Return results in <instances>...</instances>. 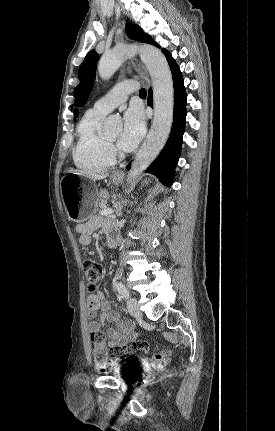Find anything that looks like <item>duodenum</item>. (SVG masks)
Wrapping results in <instances>:
<instances>
[{"instance_id": "1", "label": "duodenum", "mask_w": 275, "mask_h": 431, "mask_svg": "<svg viewBox=\"0 0 275 431\" xmlns=\"http://www.w3.org/2000/svg\"><path fill=\"white\" fill-rule=\"evenodd\" d=\"M108 244H109L110 246L114 247V246L116 245V242H115V240H114V239L109 238V239H108Z\"/></svg>"}]
</instances>
